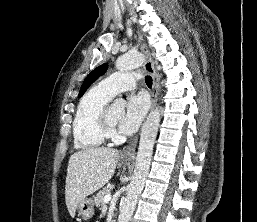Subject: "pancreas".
<instances>
[{"label":"pancreas","instance_id":"obj_1","mask_svg":"<svg viewBox=\"0 0 257 222\" xmlns=\"http://www.w3.org/2000/svg\"><path fill=\"white\" fill-rule=\"evenodd\" d=\"M110 194L109 188H103L101 191H99L94 199L95 204L97 207L104 206V197L106 195Z\"/></svg>","mask_w":257,"mask_h":222}]
</instances>
